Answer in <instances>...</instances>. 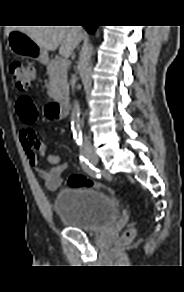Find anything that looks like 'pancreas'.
I'll list each match as a JSON object with an SVG mask.
<instances>
[{
	"label": "pancreas",
	"mask_w": 184,
	"mask_h": 292,
	"mask_svg": "<svg viewBox=\"0 0 184 292\" xmlns=\"http://www.w3.org/2000/svg\"><path fill=\"white\" fill-rule=\"evenodd\" d=\"M49 76L48 94L54 99H63L69 93L67 82V67L63 66L59 60L53 59L47 66Z\"/></svg>",
	"instance_id": "obj_1"
}]
</instances>
